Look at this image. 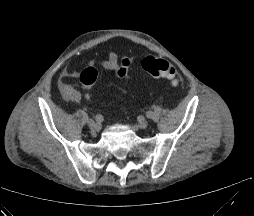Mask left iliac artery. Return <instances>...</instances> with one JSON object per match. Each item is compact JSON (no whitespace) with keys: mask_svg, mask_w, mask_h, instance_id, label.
I'll list each match as a JSON object with an SVG mask.
<instances>
[{"mask_svg":"<svg viewBox=\"0 0 254 216\" xmlns=\"http://www.w3.org/2000/svg\"><path fill=\"white\" fill-rule=\"evenodd\" d=\"M146 117L148 119H153L154 118V112L153 111H147L146 112Z\"/></svg>","mask_w":254,"mask_h":216,"instance_id":"1","label":"left iliac artery"}]
</instances>
